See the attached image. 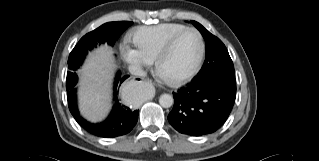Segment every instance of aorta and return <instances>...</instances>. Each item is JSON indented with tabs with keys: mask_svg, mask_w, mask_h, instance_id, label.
<instances>
[{
	"mask_svg": "<svg viewBox=\"0 0 319 161\" xmlns=\"http://www.w3.org/2000/svg\"><path fill=\"white\" fill-rule=\"evenodd\" d=\"M142 89H149L148 86H142ZM174 103V99L170 94H162L159 98V104L163 107V108H169L173 105Z\"/></svg>",
	"mask_w": 319,
	"mask_h": 161,
	"instance_id": "762f6f07",
	"label": "aorta"
}]
</instances>
